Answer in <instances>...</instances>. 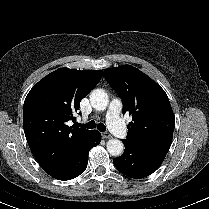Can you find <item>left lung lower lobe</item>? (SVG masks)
<instances>
[{
	"instance_id": "left-lung-lower-lobe-1",
	"label": "left lung lower lobe",
	"mask_w": 209,
	"mask_h": 209,
	"mask_svg": "<svg viewBox=\"0 0 209 209\" xmlns=\"http://www.w3.org/2000/svg\"><path fill=\"white\" fill-rule=\"evenodd\" d=\"M122 141L125 151L120 157L114 158L113 163L121 173L131 178H144L152 174L167 154L135 146L126 140Z\"/></svg>"
}]
</instances>
